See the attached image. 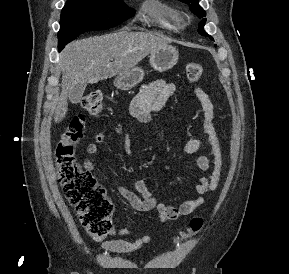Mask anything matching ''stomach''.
Returning <instances> with one entry per match:
<instances>
[{
  "label": "stomach",
  "mask_w": 289,
  "mask_h": 274,
  "mask_svg": "<svg viewBox=\"0 0 289 274\" xmlns=\"http://www.w3.org/2000/svg\"><path fill=\"white\" fill-rule=\"evenodd\" d=\"M178 51L166 45L150 53V64L154 70L163 72L171 69L178 61ZM144 77V71L140 67H134L129 72L118 75L114 80V85L120 90H130L138 85Z\"/></svg>",
  "instance_id": "0dacf381"
}]
</instances>
